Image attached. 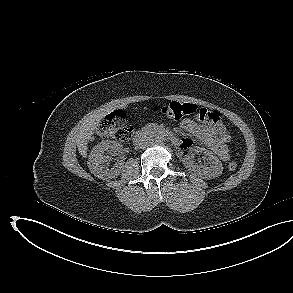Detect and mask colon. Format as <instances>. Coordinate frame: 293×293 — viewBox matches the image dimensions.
<instances>
[{
	"mask_svg": "<svg viewBox=\"0 0 293 293\" xmlns=\"http://www.w3.org/2000/svg\"><path fill=\"white\" fill-rule=\"evenodd\" d=\"M160 111L169 118L178 120L185 116H195L201 121L215 124L218 127L219 137L225 143L230 140V135L222 123L220 114L213 110L199 107L192 103H182L173 101L169 105L160 108ZM131 117L122 110H116L109 113L96 129V135L101 139H112L119 142L128 140L132 134ZM238 163L232 161L228 168L231 171L236 170Z\"/></svg>",
	"mask_w": 293,
	"mask_h": 293,
	"instance_id": "obj_1",
	"label": "colon"
}]
</instances>
